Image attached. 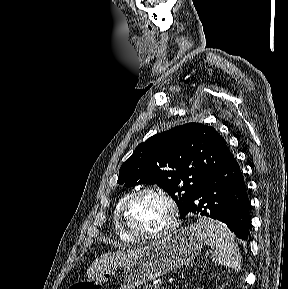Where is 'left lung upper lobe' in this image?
Wrapping results in <instances>:
<instances>
[{
    "instance_id": "1",
    "label": "left lung upper lobe",
    "mask_w": 288,
    "mask_h": 289,
    "mask_svg": "<svg viewBox=\"0 0 288 289\" xmlns=\"http://www.w3.org/2000/svg\"><path fill=\"white\" fill-rule=\"evenodd\" d=\"M229 153L225 139L200 123L177 126L139 144L122 164L118 183L157 184L176 202L180 215Z\"/></svg>"
}]
</instances>
